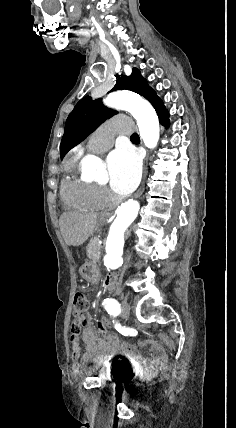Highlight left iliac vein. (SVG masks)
I'll return each instance as SVG.
<instances>
[{
  "label": "left iliac vein",
  "instance_id": "obj_1",
  "mask_svg": "<svg viewBox=\"0 0 236 428\" xmlns=\"http://www.w3.org/2000/svg\"><path fill=\"white\" fill-rule=\"evenodd\" d=\"M120 307L122 309V314L125 317H128V315L130 314V306L128 304V302L126 301V299L124 298L123 301L120 304Z\"/></svg>",
  "mask_w": 236,
  "mask_h": 428
}]
</instances>
